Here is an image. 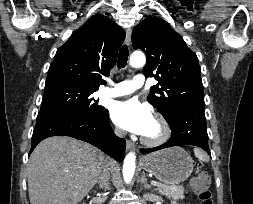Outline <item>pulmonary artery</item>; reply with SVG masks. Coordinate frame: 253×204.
Listing matches in <instances>:
<instances>
[{
  "instance_id": "e3ab8cb5",
  "label": "pulmonary artery",
  "mask_w": 253,
  "mask_h": 204,
  "mask_svg": "<svg viewBox=\"0 0 253 204\" xmlns=\"http://www.w3.org/2000/svg\"><path fill=\"white\" fill-rule=\"evenodd\" d=\"M145 84V78L143 74H136L131 80H124L117 84H114L112 88H106L102 91V95L106 97H120L130 95L138 88Z\"/></svg>"
}]
</instances>
